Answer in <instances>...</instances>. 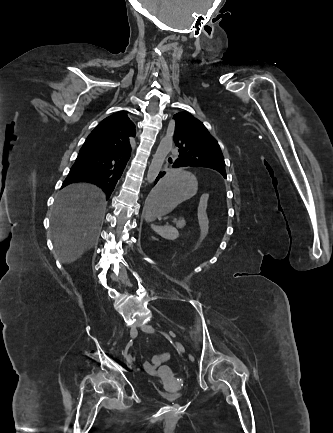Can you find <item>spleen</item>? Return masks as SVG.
Instances as JSON below:
<instances>
[{
  "label": "spleen",
  "instance_id": "1",
  "mask_svg": "<svg viewBox=\"0 0 333 433\" xmlns=\"http://www.w3.org/2000/svg\"><path fill=\"white\" fill-rule=\"evenodd\" d=\"M195 193L196 192H194V194ZM147 221L153 222L154 220H147ZM151 228L153 229V231H155L162 238H165L168 240H174L179 236L178 231H176L172 226H169V225L158 226V225H155L152 223Z\"/></svg>",
  "mask_w": 333,
  "mask_h": 433
}]
</instances>
